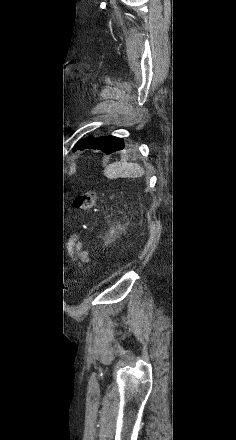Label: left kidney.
Listing matches in <instances>:
<instances>
[{
  "label": "left kidney",
  "instance_id": "obj_1",
  "mask_svg": "<svg viewBox=\"0 0 236 440\" xmlns=\"http://www.w3.org/2000/svg\"><path fill=\"white\" fill-rule=\"evenodd\" d=\"M114 233H115V230H114V229L110 230V235H111V236H113Z\"/></svg>",
  "mask_w": 236,
  "mask_h": 440
}]
</instances>
